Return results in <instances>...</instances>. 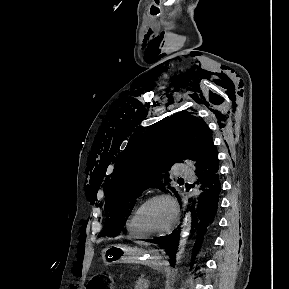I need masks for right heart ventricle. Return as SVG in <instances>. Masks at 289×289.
Masks as SVG:
<instances>
[{
  "label": "right heart ventricle",
  "mask_w": 289,
  "mask_h": 289,
  "mask_svg": "<svg viewBox=\"0 0 289 289\" xmlns=\"http://www.w3.org/2000/svg\"><path fill=\"white\" fill-rule=\"evenodd\" d=\"M134 213L135 211H133L127 218V221H126L127 232L129 233V235H131L134 238H145V236L137 230L134 224Z\"/></svg>",
  "instance_id": "obj_1"
}]
</instances>
